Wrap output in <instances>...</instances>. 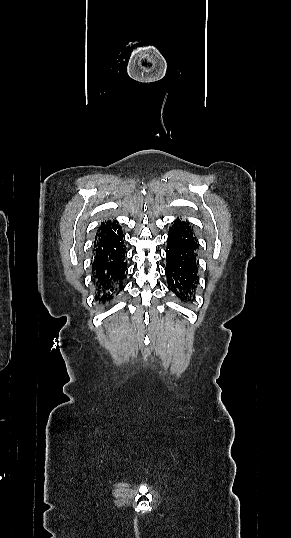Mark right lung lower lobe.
<instances>
[{
	"instance_id": "98d812e1",
	"label": "right lung lower lobe",
	"mask_w": 291,
	"mask_h": 538,
	"mask_svg": "<svg viewBox=\"0 0 291 538\" xmlns=\"http://www.w3.org/2000/svg\"><path fill=\"white\" fill-rule=\"evenodd\" d=\"M123 233L118 223L98 229L94 241L93 283L97 287L96 299L106 303L124 287L127 275Z\"/></svg>"
}]
</instances>
